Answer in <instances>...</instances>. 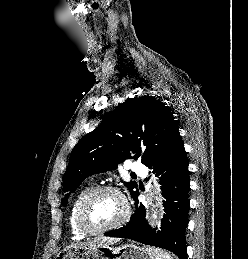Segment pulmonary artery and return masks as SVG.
Wrapping results in <instances>:
<instances>
[{
  "label": "pulmonary artery",
  "instance_id": "e3ab8cb5",
  "mask_svg": "<svg viewBox=\"0 0 248 259\" xmlns=\"http://www.w3.org/2000/svg\"><path fill=\"white\" fill-rule=\"evenodd\" d=\"M128 169L135 173H144V171H145V167L140 162L130 163Z\"/></svg>",
  "mask_w": 248,
  "mask_h": 259
}]
</instances>
